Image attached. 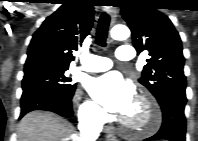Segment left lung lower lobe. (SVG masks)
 <instances>
[{"label":"left lung lower lobe","mask_w":198,"mask_h":141,"mask_svg":"<svg viewBox=\"0 0 198 141\" xmlns=\"http://www.w3.org/2000/svg\"><path fill=\"white\" fill-rule=\"evenodd\" d=\"M186 97L171 96L160 102L163 122L159 132L146 140L185 141L186 121L184 108Z\"/></svg>","instance_id":"0a47b994"}]
</instances>
